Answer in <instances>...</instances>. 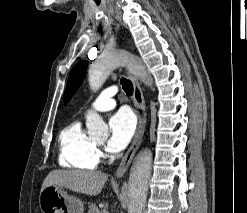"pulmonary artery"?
Instances as JSON below:
<instances>
[{"instance_id": "obj_1", "label": "pulmonary artery", "mask_w": 247, "mask_h": 213, "mask_svg": "<svg viewBox=\"0 0 247 213\" xmlns=\"http://www.w3.org/2000/svg\"><path fill=\"white\" fill-rule=\"evenodd\" d=\"M115 86L108 87L103 90L101 95L92 103L91 108L95 111H108L115 107L116 101L113 96L116 94Z\"/></svg>"}]
</instances>
